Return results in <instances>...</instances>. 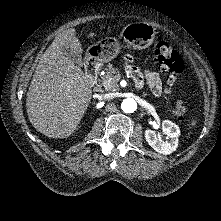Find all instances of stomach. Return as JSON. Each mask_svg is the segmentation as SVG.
Segmentation results:
<instances>
[{"instance_id": "obj_1", "label": "stomach", "mask_w": 221, "mask_h": 221, "mask_svg": "<svg viewBox=\"0 0 221 221\" xmlns=\"http://www.w3.org/2000/svg\"><path fill=\"white\" fill-rule=\"evenodd\" d=\"M121 35L134 48L143 49L152 44L155 37V29L148 23H134L125 26ZM119 49L120 44L116 39L106 38L90 46L87 50V55L98 63H106L118 54Z\"/></svg>"}]
</instances>
